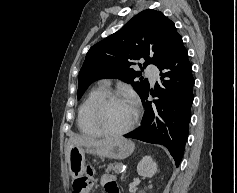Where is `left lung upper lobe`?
Here are the masks:
<instances>
[{
  "instance_id": "1",
  "label": "left lung upper lobe",
  "mask_w": 237,
  "mask_h": 193,
  "mask_svg": "<svg viewBox=\"0 0 237 193\" xmlns=\"http://www.w3.org/2000/svg\"><path fill=\"white\" fill-rule=\"evenodd\" d=\"M181 39L174 23L162 12L147 9L134 16L120 31L92 46L79 73L78 99L94 81L118 78L131 83L142 98L149 89L147 80L137 77L140 72L131 68L140 58L158 65L169 50Z\"/></svg>"
}]
</instances>
